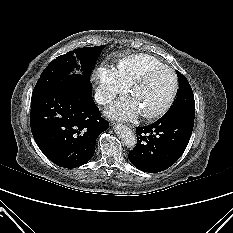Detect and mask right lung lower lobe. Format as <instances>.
<instances>
[{
	"instance_id": "obj_1",
	"label": "right lung lower lobe",
	"mask_w": 233,
	"mask_h": 233,
	"mask_svg": "<svg viewBox=\"0 0 233 233\" xmlns=\"http://www.w3.org/2000/svg\"><path fill=\"white\" fill-rule=\"evenodd\" d=\"M91 94L90 80L78 77L32 95L33 137L44 155L60 167L88 162L96 139L109 127Z\"/></svg>"
}]
</instances>
